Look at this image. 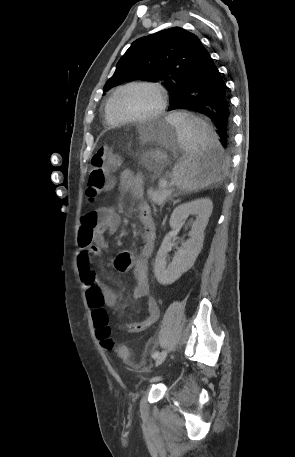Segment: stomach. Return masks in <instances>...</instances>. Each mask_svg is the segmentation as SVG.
<instances>
[{
  "instance_id": "0dacf381",
  "label": "stomach",
  "mask_w": 295,
  "mask_h": 457,
  "mask_svg": "<svg viewBox=\"0 0 295 457\" xmlns=\"http://www.w3.org/2000/svg\"><path fill=\"white\" fill-rule=\"evenodd\" d=\"M141 142L153 148L141 155V162L149 171L159 172L168 162L167 150H176L180 145L176 127L167 119H159L142 131Z\"/></svg>"
}]
</instances>
